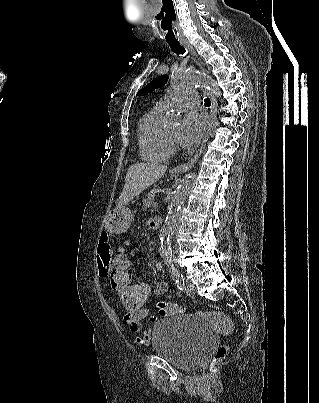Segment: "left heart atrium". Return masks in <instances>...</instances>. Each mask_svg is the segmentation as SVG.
<instances>
[{
  "mask_svg": "<svg viewBox=\"0 0 319 403\" xmlns=\"http://www.w3.org/2000/svg\"><path fill=\"white\" fill-rule=\"evenodd\" d=\"M207 127L206 119L196 112L188 113L181 124L177 141L186 149L194 148L200 141Z\"/></svg>",
  "mask_w": 319,
  "mask_h": 403,
  "instance_id": "left-heart-atrium-1",
  "label": "left heart atrium"
}]
</instances>
